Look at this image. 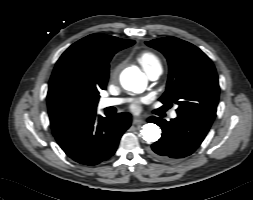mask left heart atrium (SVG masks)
I'll list each match as a JSON object with an SVG mask.
<instances>
[{"mask_svg": "<svg viewBox=\"0 0 253 200\" xmlns=\"http://www.w3.org/2000/svg\"><path fill=\"white\" fill-rule=\"evenodd\" d=\"M132 109H133V110H137V109H138V106L135 104V105L132 106Z\"/></svg>", "mask_w": 253, "mask_h": 200, "instance_id": "left-heart-atrium-1", "label": "left heart atrium"}]
</instances>
